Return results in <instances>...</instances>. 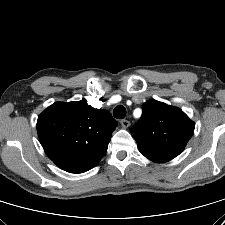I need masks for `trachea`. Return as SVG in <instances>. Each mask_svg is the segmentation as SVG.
Segmentation results:
<instances>
[{
	"instance_id": "1",
	"label": "trachea",
	"mask_w": 225,
	"mask_h": 225,
	"mask_svg": "<svg viewBox=\"0 0 225 225\" xmlns=\"http://www.w3.org/2000/svg\"><path fill=\"white\" fill-rule=\"evenodd\" d=\"M113 115L117 119H123L126 116V109L123 105H118L113 110Z\"/></svg>"
}]
</instances>
